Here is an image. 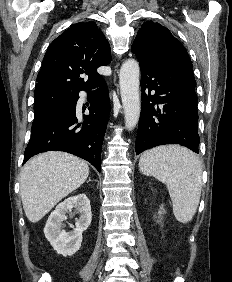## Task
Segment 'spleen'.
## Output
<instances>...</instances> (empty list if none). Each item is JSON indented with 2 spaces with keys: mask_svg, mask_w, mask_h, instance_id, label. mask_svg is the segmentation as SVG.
Instances as JSON below:
<instances>
[{
  "mask_svg": "<svg viewBox=\"0 0 232 282\" xmlns=\"http://www.w3.org/2000/svg\"><path fill=\"white\" fill-rule=\"evenodd\" d=\"M139 168L143 174L152 175L167 185L176 219L181 223L189 222L201 195L199 158L180 146H161L144 152Z\"/></svg>",
  "mask_w": 232,
  "mask_h": 282,
  "instance_id": "3e777b00",
  "label": "spleen"
}]
</instances>
